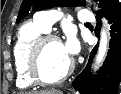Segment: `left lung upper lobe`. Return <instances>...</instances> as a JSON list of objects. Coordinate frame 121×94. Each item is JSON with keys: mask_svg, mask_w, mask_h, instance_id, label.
Returning a JSON list of instances; mask_svg holds the SVG:
<instances>
[{"mask_svg": "<svg viewBox=\"0 0 121 94\" xmlns=\"http://www.w3.org/2000/svg\"><path fill=\"white\" fill-rule=\"evenodd\" d=\"M99 1V6L101 10L97 12V19L99 16L104 15L105 17L118 8L120 5L119 0H95ZM84 4V0H23L19 14L17 17V22H19L28 12L32 9L33 11L44 10L47 8L57 7V6H81Z\"/></svg>", "mask_w": 121, "mask_h": 94, "instance_id": "left-lung-upper-lobe-1", "label": "left lung upper lobe"}]
</instances>
